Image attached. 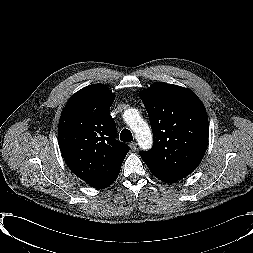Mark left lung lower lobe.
<instances>
[{
    "label": "left lung lower lobe",
    "mask_w": 253,
    "mask_h": 253,
    "mask_svg": "<svg viewBox=\"0 0 253 253\" xmlns=\"http://www.w3.org/2000/svg\"><path fill=\"white\" fill-rule=\"evenodd\" d=\"M153 175L166 183H173L185 177V176H176V175L172 176V175H162V174H153Z\"/></svg>",
    "instance_id": "0a47b994"
}]
</instances>
